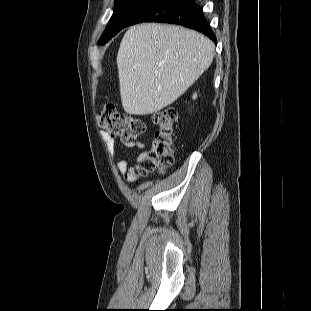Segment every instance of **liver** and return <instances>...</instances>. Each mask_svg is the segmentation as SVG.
<instances>
[{
    "label": "liver",
    "instance_id": "liver-1",
    "mask_svg": "<svg viewBox=\"0 0 311 311\" xmlns=\"http://www.w3.org/2000/svg\"><path fill=\"white\" fill-rule=\"evenodd\" d=\"M214 50L211 40L180 26L130 27L116 59L124 111L147 115L172 104L208 69Z\"/></svg>",
    "mask_w": 311,
    "mask_h": 311
}]
</instances>
